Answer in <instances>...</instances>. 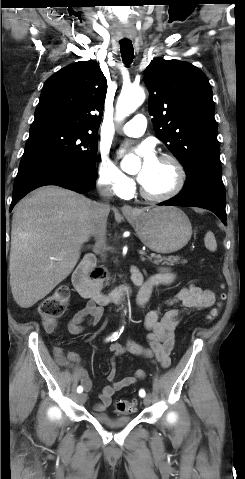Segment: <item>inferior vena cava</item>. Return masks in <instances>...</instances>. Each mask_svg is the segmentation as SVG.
I'll return each mask as SVG.
<instances>
[{"label":"inferior vena cava","instance_id":"obj_1","mask_svg":"<svg viewBox=\"0 0 245 479\" xmlns=\"http://www.w3.org/2000/svg\"><path fill=\"white\" fill-rule=\"evenodd\" d=\"M97 189L102 197V201H91L89 213L96 246L102 253V256H104L103 253L106 249L107 218L110 212L109 199L112 196V192L107 184L101 182H98Z\"/></svg>","mask_w":245,"mask_h":479}]
</instances>
